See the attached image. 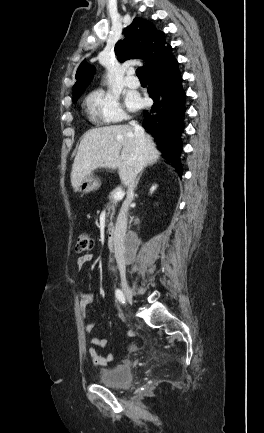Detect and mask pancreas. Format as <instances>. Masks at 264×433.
I'll return each mask as SVG.
<instances>
[{"mask_svg": "<svg viewBox=\"0 0 264 433\" xmlns=\"http://www.w3.org/2000/svg\"><path fill=\"white\" fill-rule=\"evenodd\" d=\"M115 192H116V190L112 191L109 194L110 202L107 204V211H108L107 215L110 216V220H111L110 226H112V219L114 217L115 208L117 207V203H118V200L114 199V193Z\"/></svg>", "mask_w": 264, "mask_h": 433, "instance_id": "obj_1", "label": "pancreas"}]
</instances>
